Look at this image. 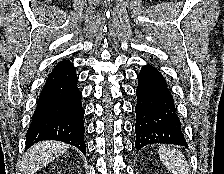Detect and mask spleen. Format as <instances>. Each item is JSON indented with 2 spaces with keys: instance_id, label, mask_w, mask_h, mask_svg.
I'll return each mask as SVG.
<instances>
[{
  "instance_id": "1",
  "label": "spleen",
  "mask_w": 224,
  "mask_h": 174,
  "mask_svg": "<svg viewBox=\"0 0 224 174\" xmlns=\"http://www.w3.org/2000/svg\"><path fill=\"white\" fill-rule=\"evenodd\" d=\"M160 160L172 174H188V164L184 155L171 146H161L158 151Z\"/></svg>"
}]
</instances>
